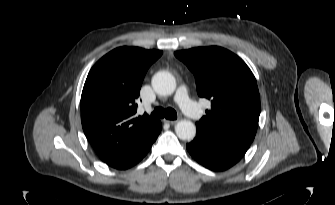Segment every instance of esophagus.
I'll use <instances>...</instances> for the list:
<instances>
[{
  "mask_svg": "<svg viewBox=\"0 0 335 205\" xmlns=\"http://www.w3.org/2000/svg\"><path fill=\"white\" fill-rule=\"evenodd\" d=\"M165 123H168L170 125H175L178 121L177 120H167V119H164L163 120Z\"/></svg>",
  "mask_w": 335,
  "mask_h": 205,
  "instance_id": "obj_1",
  "label": "esophagus"
}]
</instances>
